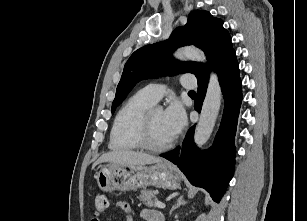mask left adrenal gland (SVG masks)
I'll use <instances>...</instances> for the list:
<instances>
[{
	"instance_id": "left-adrenal-gland-1",
	"label": "left adrenal gland",
	"mask_w": 307,
	"mask_h": 221,
	"mask_svg": "<svg viewBox=\"0 0 307 221\" xmlns=\"http://www.w3.org/2000/svg\"><path fill=\"white\" fill-rule=\"evenodd\" d=\"M185 203H186V201L183 200V196H179V198L177 199L176 204H174V205L172 206V208H171L169 214L171 215L172 212H173L175 209L179 208L180 206L184 205Z\"/></svg>"
}]
</instances>
